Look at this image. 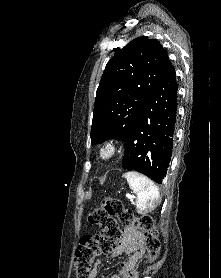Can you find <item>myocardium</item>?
I'll use <instances>...</instances> for the list:
<instances>
[{
  "label": "myocardium",
  "instance_id": "f54148a6",
  "mask_svg": "<svg viewBox=\"0 0 221 278\" xmlns=\"http://www.w3.org/2000/svg\"><path fill=\"white\" fill-rule=\"evenodd\" d=\"M119 154V144L116 140L108 139L102 142L97 149V157L104 163H109L116 159Z\"/></svg>",
  "mask_w": 221,
  "mask_h": 278
}]
</instances>
